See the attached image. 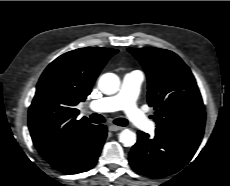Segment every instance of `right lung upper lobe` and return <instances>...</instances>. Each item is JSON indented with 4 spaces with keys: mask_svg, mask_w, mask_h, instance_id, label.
<instances>
[{
    "mask_svg": "<svg viewBox=\"0 0 230 186\" xmlns=\"http://www.w3.org/2000/svg\"><path fill=\"white\" fill-rule=\"evenodd\" d=\"M118 50L86 47L67 52L45 69L29 107L28 126L44 159L53 158L92 124L76 120L75 106L86 99L107 60Z\"/></svg>",
    "mask_w": 230,
    "mask_h": 186,
    "instance_id": "cb5924a9",
    "label": "right lung upper lobe"
}]
</instances>
